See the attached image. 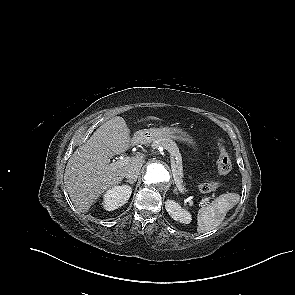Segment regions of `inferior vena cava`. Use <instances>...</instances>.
Returning a JSON list of instances; mask_svg holds the SVG:
<instances>
[{
  "mask_svg": "<svg viewBox=\"0 0 295 295\" xmlns=\"http://www.w3.org/2000/svg\"><path fill=\"white\" fill-rule=\"evenodd\" d=\"M140 168L137 166L128 167L125 171V177L129 180H136L139 175Z\"/></svg>",
  "mask_w": 295,
  "mask_h": 295,
  "instance_id": "obj_1",
  "label": "inferior vena cava"
}]
</instances>
